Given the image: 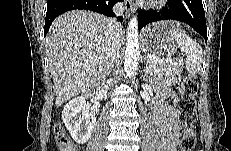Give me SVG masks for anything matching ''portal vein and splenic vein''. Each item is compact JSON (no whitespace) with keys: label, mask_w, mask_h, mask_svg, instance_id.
<instances>
[{"label":"portal vein and splenic vein","mask_w":231,"mask_h":151,"mask_svg":"<svg viewBox=\"0 0 231 151\" xmlns=\"http://www.w3.org/2000/svg\"><path fill=\"white\" fill-rule=\"evenodd\" d=\"M147 57L150 59V60H154L156 62H159V63H171L172 62V57L169 55L167 56L166 58L164 59H161L157 56H153V55H147Z\"/></svg>","instance_id":"obj_1"}]
</instances>
